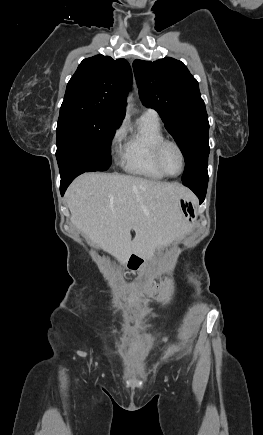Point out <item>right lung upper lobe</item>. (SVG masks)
<instances>
[{
    "instance_id": "right-lung-upper-lobe-1",
    "label": "right lung upper lobe",
    "mask_w": 263,
    "mask_h": 435,
    "mask_svg": "<svg viewBox=\"0 0 263 435\" xmlns=\"http://www.w3.org/2000/svg\"><path fill=\"white\" fill-rule=\"evenodd\" d=\"M132 73L125 59L96 55L84 59L67 84L61 108L92 109L121 124Z\"/></svg>"
}]
</instances>
